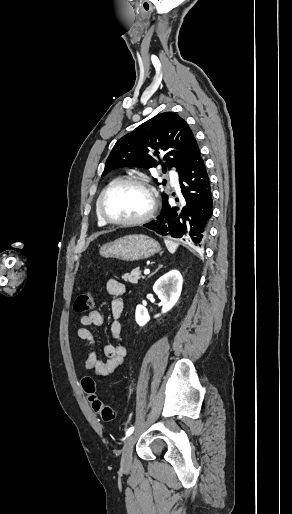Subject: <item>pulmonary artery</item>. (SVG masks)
Here are the masks:
<instances>
[{
  "label": "pulmonary artery",
  "instance_id": "e3ab8cb5",
  "mask_svg": "<svg viewBox=\"0 0 292 514\" xmlns=\"http://www.w3.org/2000/svg\"><path fill=\"white\" fill-rule=\"evenodd\" d=\"M171 182L174 186L177 185L178 183V180H177V175L175 173H172V176H171Z\"/></svg>",
  "mask_w": 292,
  "mask_h": 514
}]
</instances>
